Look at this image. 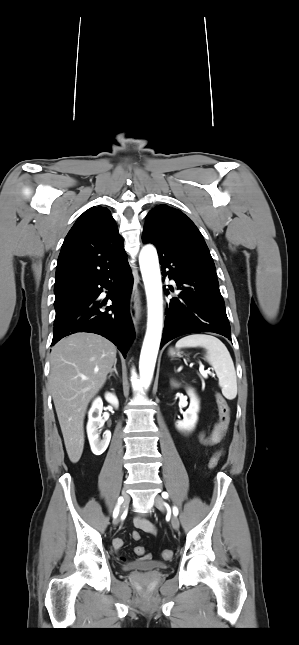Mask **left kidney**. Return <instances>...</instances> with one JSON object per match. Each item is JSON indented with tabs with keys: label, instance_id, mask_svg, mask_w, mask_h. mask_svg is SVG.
I'll return each mask as SVG.
<instances>
[{
	"label": "left kidney",
	"instance_id": "left-kidney-1",
	"mask_svg": "<svg viewBox=\"0 0 299 645\" xmlns=\"http://www.w3.org/2000/svg\"><path fill=\"white\" fill-rule=\"evenodd\" d=\"M187 394L190 397L189 408L183 413V420L176 422V427L180 431L193 430L198 419L199 399L192 389H188Z\"/></svg>",
	"mask_w": 299,
	"mask_h": 645
}]
</instances>
